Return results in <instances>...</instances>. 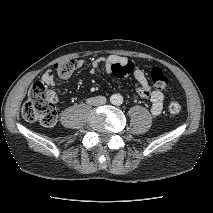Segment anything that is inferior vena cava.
<instances>
[{
  "label": "inferior vena cava",
  "mask_w": 213,
  "mask_h": 213,
  "mask_svg": "<svg viewBox=\"0 0 213 213\" xmlns=\"http://www.w3.org/2000/svg\"><path fill=\"white\" fill-rule=\"evenodd\" d=\"M87 103L93 106H100L106 103V97L104 96H96L87 99Z\"/></svg>",
  "instance_id": "inferior-vena-cava-1"
}]
</instances>
